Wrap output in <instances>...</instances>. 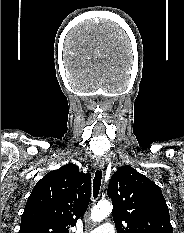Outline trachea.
<instances>
[{
    "mask_svg": "<svg viewBox=\"0 0 184 233\" xmlns=\"http://www.w3.org/2000/svg\"><path fill=\"white\" fill-rule=\"evenodd\" d=\"M102 179V171L97 170L95 173V177L93 180V197L96 198L98 196Z\"/></svg>",
    "mask_w": 184,
    "mask_h": 233,
    "instance_id": "trachea-1",
    "label": "trachea"
}]
</instances>
